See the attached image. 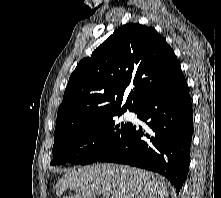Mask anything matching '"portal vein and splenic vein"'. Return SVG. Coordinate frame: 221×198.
Wrapping results in <instances>:
<instances>
[{
	"mask_svg": "<svg viewBox=\"0 0 221 198\" xmlns=\"http://www.w3.org/2000/svg\"><path fill=\"white\" fill-rule=\"evenodd\" d=\"M105 196V198H109V195H104Z\"/></svg>",
	"mask_w": 221,
	"mask_h": 198,
	"instance_id": "obj_1",
	"label": "portal vein and splenic vein"
}]
</instances>
